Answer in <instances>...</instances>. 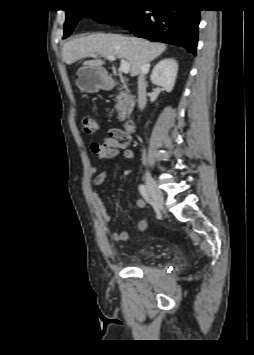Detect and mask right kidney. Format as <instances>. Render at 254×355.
Segmentation results:
<instances>
[{
	"label": "right kidney",
	"mask_w": 254,
	"mask_h": 355,
	"mask_svg": "<svg viewBox=\"0 0 254 355\" xmlns=\"http://www.w3.org/2000/svg\"><path fill=\"white\" fill-rule=\"evenodd\" d=\"M178 71V63L173 58H165L159 61L151 74L153 84L161 86L167 92L173 90Z\"/></svg>",
	"instance_id": "ca27d5eb"
}]
</instances>
